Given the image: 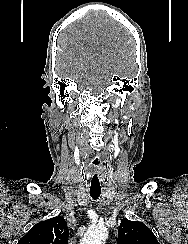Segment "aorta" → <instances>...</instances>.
<instances>
[{"label": "aorta", "mask_w": 188, "mask_h": 244, "mask_svg": "<svg viewBox=\"0 0 188 244\" xmlns=\"http://www.w3.org/2000/svg\"><path fill=\"white\" fill-rule=\"evenodd\" d=\"M108 237V230L104 226L89 228L81 240L80 244H105Z\"/></svg>", "instance_id": "1"}]
</instances>
